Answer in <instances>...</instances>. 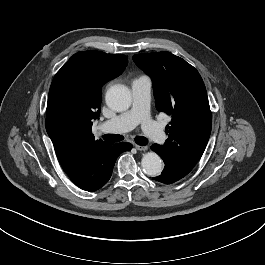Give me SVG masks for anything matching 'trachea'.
Returning <instances> with one entry per match:
<instances>
[{
	"label": "trachea",
	"mask_w": 265,
	"mask_h": 265,
	"mask_svg": "<svg viewBox=\"0 0 265 265\" xmlns=\"http://www.w3.org/2000/svg\"><path fill=\"white\" fill-rule=\"evenodd\" d=\"M103 139L108 142H119L124 139L122 135H116V134H106L103 136ZM135 142L138 145L145 146L148 144V139L143 136H136Z\"/></svg>",
	"instance_id": "obj_1"
}]
</instances>
